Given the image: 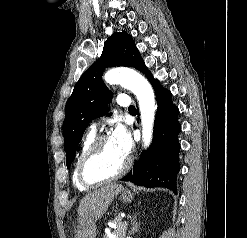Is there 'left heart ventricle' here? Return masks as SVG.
Returning <instances> with one entry per match:
<instances>
[{"instance_id": "left-heart-ventricle-1", "label": "left heart ventricle", "mask_w": 247, "mask_h": 238, "mask_svg": "<svg viewBox=\"0 0 247 238\" xmlns=\"http://www.w3.org/2000/svg\"><path fill=\"white\" fill-rule=\"evenodd\" d=\"M124 156L113 144L111 139L107 140L98 153L89 162L87 174L91 178L111 176L117 173L124 165Z\"/></svg>"}]
</instances>
